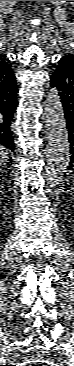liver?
I'll use <instances>...</instances> for the list:
<instances>
[{
    "label": "liver",
    "mask_w": 74,
    "mask_h": 366,
    "mask_svg": "<svg viewBox=\"0 0 74 366\" xmlns=\"http://www.w3.org/2000/svg\"><path fill=\"white\" fill-rule=\"evenodd\" d=\"M9 154V151L5 149L3 146L0 147V159L3 162Z\"/></svg>",
    "instance_id": "1"
}]
</instances>
